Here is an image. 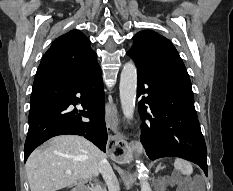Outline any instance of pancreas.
Wrapping results in <instances>:
<instances>
[{
	"instance_id": "1",
	"label": "pancreas",
	"mask_w": 233,
	"mask_h": 191,
	"mask_svg": "<svg viewBox=\"0 0 233 191\" xmlns=\"http://www.w3.org/2000/svg\"><path fill=\"white\" fill-rule=\"evenodd\" d=\"M93 191H102V190H97V189H94Z\"/></svg>"
}]
</instances>
